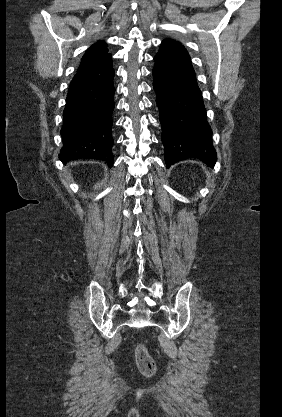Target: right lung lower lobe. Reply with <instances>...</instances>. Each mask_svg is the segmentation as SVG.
Returning a JSON list of instances; mask_svg holds the SVG:
<instances>
[{"label": "right lung lower lobe", "instance_id": "right-lung-lower-lobe-1", "mask_svg": "<svg viewBox=\"0 0 282 417\" xmlns=\"http://www.w3.org/2000/svg\"><path fill=\"white\" fill-rule=\"evenodd\" d=\"M112 60L78 71L70 83L63 113L59 154L63 163L97 159L113 165L112 112L115 107Z\"/></svg>", "mask_w": 282, "mask_h": 417}]
</instances>
